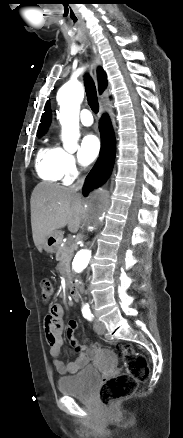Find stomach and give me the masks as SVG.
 Segmentation results:
<instances>
[{"instance_id": "obj_1", "label": "stomach", "mask_w": 183, "mask_h": 438, "mask_svg": "<svg viewBox=\"0 0 183 438\" xmlns=\"http://www.w3.org/2000/svg\"><path fill=\"white\" fill-rule=\"evenodd\" d=\"M62 240V234L56 231L50 234L42 245V248L48 253H54L57 251Z\"/></svg>"}]
</instances>
